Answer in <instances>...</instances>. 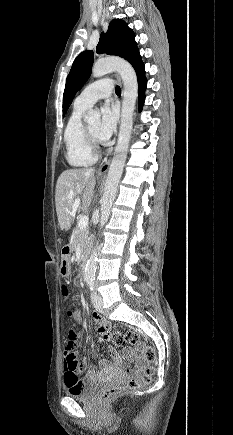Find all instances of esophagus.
Instances as JSON below:
<instances>
[{"label":"esophagus","instance_id":"34e87169","mask_svg":"<svg viewBox=\"0 0 233 435\" xmlns=\"http://www.w3.org/2000/svg\"><path fill=\"white\" fill-rule=\"evenodd\" d=\"M111 159L106 160L98 169V175H105L110 167Z\"/></svg>","mask_w":233,"mask_h":435}]
</instances>
